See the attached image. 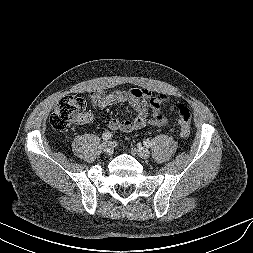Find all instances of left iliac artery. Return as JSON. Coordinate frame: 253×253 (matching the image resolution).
I'll return each mask as SVG.
<instances>
[{
  "instance_id": "44dca946",
  "label": "left iliac artery",
  "mask_w": 253,
  "mask_h": 253,
  "mask_svg": "<svg viewBox=\"0 0 253 253\" xmlns=\"http://www.w3.org/2000/svg\"><path fill=\"white\" fill-rule=\"evenodd\" d=\"M144 145L147 147V148H149L150 146H151V142H150V140H145L144 142Z\"/></svg>"
}]
</instances>
